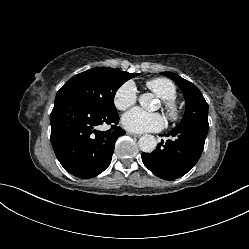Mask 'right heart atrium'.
<instances>
[{"instance_id":"d8ad5b80","label":"right heart atrium","mask_w":249,"mask_h":249,"mask_svg":"<svg viewBox=\"0 0 249 249\" xmlns=\"http://www.w3.org/2000/svg\"><path fill=\"white\" fill-rule=\"evenodd\" d=\"M137 100L136 86L132 82L123 83L114 93L113 103L115 107L124 111L135 104Z\"/></svg>"}]
</instances>
